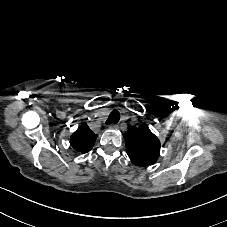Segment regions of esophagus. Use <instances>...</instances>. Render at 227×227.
Here are the masks:
<instances>
[{
	"instance_id": "esophagus-1",
	"label": "esophagus",
	"mask_w": 227,
	"mask_h": 227,
	"mask_svg": "<svg viewBox=\"0 0 227 227\" xmlns=\"http://www.w3.org/2000/svg\"><path fill=\"white\" fill-rule=\"evenodd\" d=\"M110 128H111V129H116V128H118V126L115 125V124H111V125H110Z\"/></svg>"
}]
</instances>
